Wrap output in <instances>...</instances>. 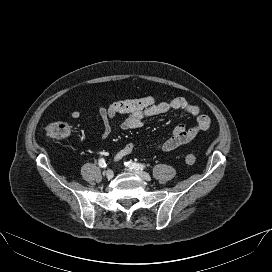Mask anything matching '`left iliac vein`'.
<instances>
[{
	"mask_svg": "<svg viewBox=\"0 0 272 272\" xmlns=\"http://www.w3.org/2000/svg\"><path fill=\"white\" fill-rule=\"evenodd\" d=\"M128 171L138 175L140 178H142L143 180H146V181H150L151 180V176L144 172V171H141V170H136V169H127Z\"/></svg>",
	"mask_w": 272,
	"mask_h": 272,
	"instance_id": "left-iliac-vein-1",
	"label": "left iliac vein"
}]
</instances>
